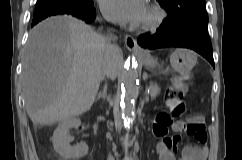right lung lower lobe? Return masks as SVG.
Returning <instances> with one entry per match:
<instances>
[{
	"mask_svg": "<svg viewBox=\"0 0 242 160\" xmlns=\"http://www.w3.org/2000/svg\"><path fill=\"white\" fill-rule=\"evenodd\" d=\"M54 15H70L77 17L79 19L84 20L87 23H91L96 18V12L94 7L88 8V9H58L54 8L45 12H41L39 14H35L33 16L32 26L36 25L41 20Z\"/></svg>",
	"mask_w": 242,
	"mask_h": 160,
	"instance_id": "right-lung-lower-lobe-1",
	"label": "right lung lower lobe"
}]
</instances>
